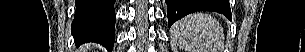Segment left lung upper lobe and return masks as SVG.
I'll return each instance as SVG.
<instances>
[{
  "mask_svg": "<svg viewBox=\"0 0 305 52\" xmlns=\"http://www.w3.org/2000/svg\"><path fill=\"white\" fill-rule=\"evenodd\" d=\"M209 1L212 2L213 4H216L218 8H221V7H222V1H223V0H209ZM192 12H193V10H192V9H189V10H187V11H185V12L179 14V15L177 16V20H178V19H181V18L184 17L185 15H187V14H189V13H192Z\"/></svg>",
  "mask_w": 305,
  "mask_h": 52,
  "instance_id": "5c2ea615",
  "label": "left lung upper lobe"
}]
</instances>
